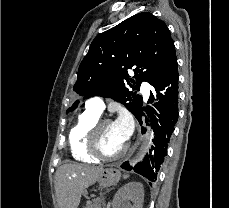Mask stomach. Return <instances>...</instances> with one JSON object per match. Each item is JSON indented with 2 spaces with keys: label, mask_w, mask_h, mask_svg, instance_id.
I'll return each instance as SVG.
<instances>
[{
  "label": "stomach",
  "mask_w": 229,
  "mask_h": 208,
  "mask_svg": "<svg viewBox=\"0 0 229 208\" xmlns=\"http://www.w3.org/2000/svg\"><path fill=\"white\" fill-rule=\"evenodd\" d=\"M119 178L120 174L118 170H114V168H106V170L101 172L98 178V184L99 186H102V188H110V186L117 184Z\"/></svg>",
  "instance_id": "stomach-1"
}]
</instances>
